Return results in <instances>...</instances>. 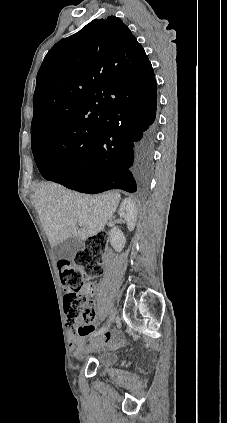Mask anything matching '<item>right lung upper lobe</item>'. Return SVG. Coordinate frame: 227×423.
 Instances as JSON below:
<instances>
[{
    "mask_svg": "<svg viewBox=\"0 0 227 423\" xmlns=\"http://www.w3.org/2000/svg\"><path fill=\"white\" fill-rule=\"evenodd\" d=\"M157 91L151 63L129 28L115 16L94 19L56 43L38 71L31 142L60 136L95 140L108 108Z\"/></svg>",
    "mask_w": 227,
    "mask_h": 423,
    "instance_id": "cb5924a9",
    "label": "right lung upper lobe"
}]
</instances>
